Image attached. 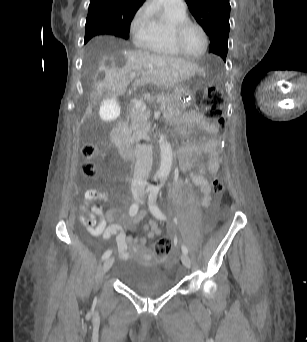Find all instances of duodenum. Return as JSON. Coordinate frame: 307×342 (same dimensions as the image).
Segmentation results:
<instances>
[{
	"label": "duodenum",
	"instance_id": "410a0bca",
	"mask_svg": "<svg viewBox=\"0 0 307 342\" xmlns=\"http://www.w3.org/2000/svg\"><path fill=\"white\" fill-rule=\"evenodd\" d=\"M119 123L113 129L111 139L114 147L117 149L118 153L123 157H129L131 150L128 144L127 134L125 132L124 124L126 123L125 117L119 118ZM179 152V151H178Z\"/></svg>",
	"mask_w": 307,
	"mask_h": 342
}]
</instances>
